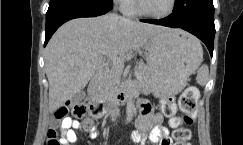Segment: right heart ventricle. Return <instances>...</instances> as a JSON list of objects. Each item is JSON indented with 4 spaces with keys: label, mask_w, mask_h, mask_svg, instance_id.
Segmentation results:
<instances>
[{
    "label": "right heart ventricle",
    "mask_w": 243,
    "mask_h": 145,
    "mask_svg": "<svg viewBox=\"0 0 243 145\" xmlns=\"http://www.w3.org/2000/svg\"><path fill=\"white\" fill-rule=\"evenodd\" d=\"M125 12L129 15H133L136 13V9H135V6H134V3L133 1L129 4L128 7H126L125 9Z\"/></svg>",
    "instance_id": "obj_1"
}]
</instances>
